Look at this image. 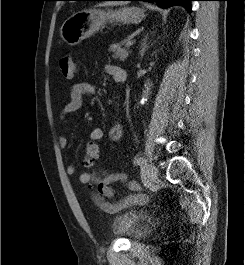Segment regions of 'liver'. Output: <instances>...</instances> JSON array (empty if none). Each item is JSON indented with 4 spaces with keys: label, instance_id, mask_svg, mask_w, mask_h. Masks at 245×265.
Listing matches in <instances>:
<instances>
[{
    "label": "liver",
    "instance_id": "1",
    "mask_svg": "<svg viewBox=\"0 0 245 265\" xmlns=\"http://www.w3.org/2000/svg\"><path fill=\"white\" fill-rule=\"evenodd\" d=\"M120 3H103L101 4L102 6H107V5H118Z\"/></svg>",
    "mask_w": 245,
    "mask_h": 265
}]
</instances>
